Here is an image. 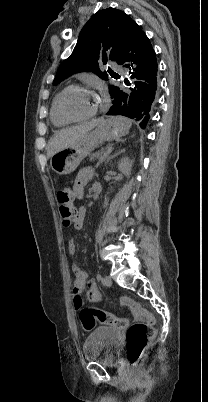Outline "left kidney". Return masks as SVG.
<instances>
[{
  "mask_svg": "<svg viewBox=\"0 0 208 402\" xmlns=\"http://www.w3.org/2000/svg\"><path fill=\"white\" fill-rule=\"evenodd\" d=\"M118 168L122 174H126V176H130L131 168H132V160H128V158H123L121 162H118Z\"/></svg>",
  "mask_w": 208,
  "mask_h": 402,
  "instance_id": "obj_1",
  "label": "left kidney"
}]
</instances>
